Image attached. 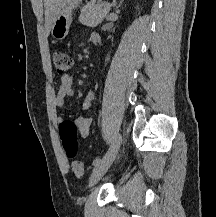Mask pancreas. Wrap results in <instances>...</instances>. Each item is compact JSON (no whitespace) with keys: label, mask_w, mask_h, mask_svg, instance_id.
Instances as JSON below:
<instances>
[{"label":"pancreas","mask_w":216,"mask_h":217,"mask_svg":"<svg viewBox=\"0 0 216 217\" xmlns=\"http://www.w3.org/2000/svg\"><path fill=\"white\" fill-rule=\"evenodd\" d=\"M109 10V3L95 4L94 1H91L81 9L79 20L84 25L96 27L102 23Z\"/></svg>","instance_id":"obj_1"}]
</instances>
